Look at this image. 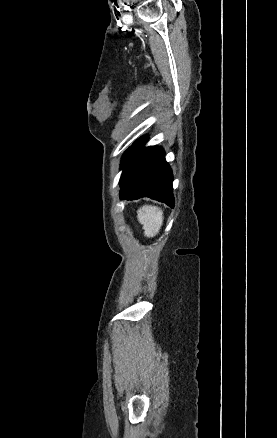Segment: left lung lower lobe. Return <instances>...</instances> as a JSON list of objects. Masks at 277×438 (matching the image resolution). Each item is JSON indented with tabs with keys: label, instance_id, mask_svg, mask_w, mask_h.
Listing matches in <instances>:
<instances>
[{
	"label": "left lung lower lobe",
	"instance_id": "1",
	"mask_svg": "<svg viewBox=\"0 0 277 438\" xmlns=\"http://www.w3.org/2000/svg\"><path fill=\"white\" fill-rule=\"evenodd\" d=\"M146 142V137L139 138L126 154L120 199L150 197L174 207L172 171L165 161L164 151L157 146L143 148Z\"/></svg>",
	"mask_w": 277,
	"mask_h": 438
}]
</instances>
